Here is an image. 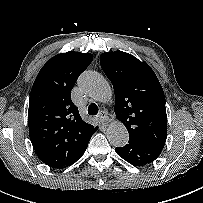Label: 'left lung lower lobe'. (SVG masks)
I'll list each match as a JSON object with an SVG mask.
<instances>
[{
	"label": "left lung lower lobe",
	"mask_w": 203,
	"mask_h": 203,
	"mask_svg": "<svg viewBox=\"0 0 203 203\" xmlns=\"http://www.w3.org/2000/svg\"><path fill=\"white\" fill-rule=\"evenodd\" d=\"M116 153L134 166H143L153 162L161 150L149 147L137 140L129 139L124 147L115 148Z\"/></svg>",
	"instance_id": "left-lung-lower-lobe-1"
}]
</instances>
